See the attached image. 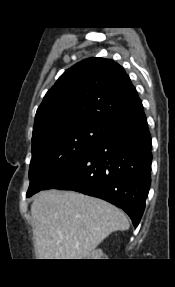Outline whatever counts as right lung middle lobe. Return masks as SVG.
Wrapping results in <instances>:
<instances>
[{
  "instance_id": "right-lung-middle-lobe-1",
  "label": "right lung middle lobe",
  "mask_w": 175,
  "mask_h": 287,
  "mask_svg": "<svg viewBox=\"0 0 175 287\" xmlns=\"http://www.w3.org/2000/svg\"><path fill=\"white\" fill-rule=\"evenodd\" d=\"M107 129L108 125L101 123L66 125L33 140L27 197L85 156Z\"/></svg>"
}]
</instances>
